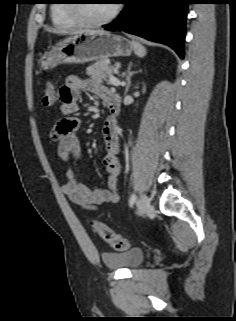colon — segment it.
Returning <instances> with one entry per match:
<instances>
[{
  "label": "colon",
  "instance_id": "colon-1",
  "mask_svg": "<svg viewBox=\"0 0 236 321\" xmlns=\"http://www.w3.org/2000/svg\"><path fill=\"white\" fill-rule=\"evenodd\" d=\"M58 98L57 89L54 85L48 84L43 90L42 103L46 107H52L56 104ZM92 227L95 232L114 250L127 251L129 249V241L117 234L110 227L100 221H93Z\"/></svg>",
  "mask_w": 236,
  "mask_h": 321
}]
</instances>
